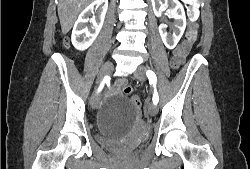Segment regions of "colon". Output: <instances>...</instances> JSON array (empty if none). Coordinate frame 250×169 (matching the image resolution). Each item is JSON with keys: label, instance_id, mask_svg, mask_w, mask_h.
Returning a JSON list of instances; mask_svg holds the SVG:
<instances>
[{"label": "colon", "instance_id": "1", "mask_svg": "<svg viewBox=\"0 0 250 169\" xmlns=\"http://www.w3.org/2000/svg\"><path fill=\"white\" fill-rule=\"evenodd\" d=\"M188 25H189V29L187 31V39L188 41H192L196 38L197 35V28H198V22L197 20H188ZM66 38H61V43H72V38H67L68 36H65ZM180 63L178 62V59L175 56H173L171 58L170 61V69H175L176 71L179 69ZM131 90V85H124V90L122 91L123 95H130L132 92ZM131 102L134 103V108H135V112H136V116H141V97L140 95H133V97H131Z\"/></svg>", "mask_w": 250, "mask_h": 169}]
</instances>
